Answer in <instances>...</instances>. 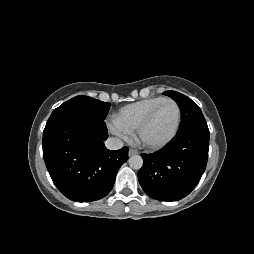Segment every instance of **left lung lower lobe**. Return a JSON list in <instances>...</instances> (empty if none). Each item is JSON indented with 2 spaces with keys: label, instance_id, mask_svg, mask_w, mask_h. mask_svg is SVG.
Here are the masks:
<instances>
[{
  "label": "left lung lower lobe",
  "instance_id": "1",
  "mask_svg": "<svg viewBox=\"0 0 254 254\" xmlns=\"http://www.w3.org/2000/svg\"><path fill=\"white\" fill-rule=\"evenodd\" d=\"M208 127L178 132L162 150L141 154L143 166L138 179L147 195L159 201H177L200 181L207 164Z\"/></svg>",
  "mask_w": 254,
  "mask_h": 254
}]
</instances>
